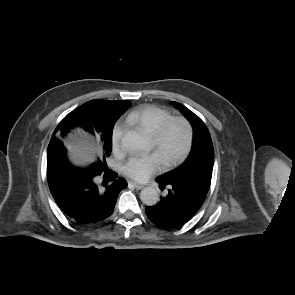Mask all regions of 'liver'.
Listing matches in <instances>:
<instances>
[{"mask_svg": "<svg viewBox=\"0 0 295 295\" xmlns=\"http://www.w3.org/2000/svg\"><path fill=\"white\" fill-rule=\"evenodd\" d=\"M78 158H79L80 160H82V161H87V160H88V155H87L86 153H84V152H80V153L78 154Z\"/></svg>", "mask_w": 295, "mask_h": 295, "instance_id": "obj_1", "label": "liver"}]
</instances>
